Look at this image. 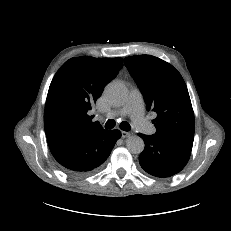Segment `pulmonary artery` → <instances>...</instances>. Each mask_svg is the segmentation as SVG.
<instances>
[{"label": "pulmonary artery", "mask_w": 231, "mask_h": 231, "mask_svg": "<svg viewBox=\"0 0 231 231\" xmlns=\"http://www.w3.org/2000/svg\"><path fill=\"white\" fill-rule=\"evenodd\" d=\"M117 115L129 116L134 125L145 134H155L156 128L144 117V103L140 90L132 88L126 103L118 110L109 112L106 117L113 118Z\"/></svg>", "instance_id": "obj_1"}]
</instances>
